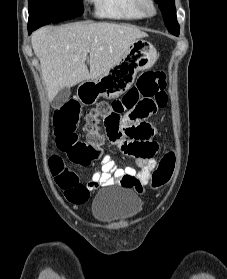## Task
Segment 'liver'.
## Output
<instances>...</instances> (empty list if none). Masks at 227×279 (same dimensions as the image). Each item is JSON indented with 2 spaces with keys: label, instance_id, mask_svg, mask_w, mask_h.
Returning a JSON list of instances; mask_svg holds the SVG:
<instances>
[{
  "label": "liver",
  "instance_id": "6515ba94",
  "mask_svg": "<svg viewBox=\"0 0 227 279\" xmlns=\"http://www.w3.org/2000/svg\"><path fill=\"white\" fill-rule=\"evenodd\" d=\"M145 36L133 25L109 22H78L38 29L32 34L31 44L40 60L48 99L52 101L65 87L100 77L120 61L136 39Z\"/></svg>",
  "mask_w": 227,
  "mask_h": 279
}]
</instances>
